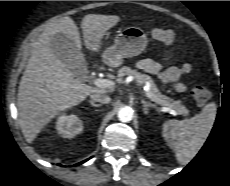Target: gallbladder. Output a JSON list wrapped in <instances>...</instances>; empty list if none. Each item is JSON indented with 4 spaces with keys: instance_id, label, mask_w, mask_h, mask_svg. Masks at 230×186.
Returning a JSON list of instances; mask_svg holds the SVG:
<instances>
[{
    "instance_id": "bac80fb5",
    "label": "gallbladder",
    "mask_w": 230,
    "mask_h": 186,
    "mask_svg": "<svg viewBox=\"0 0 230 186\" xmlns=\"http://www.w3.org/2000/svg\"><path fill=\"white\" fill-rule=\"evenodd\" d=\"M52 49L56 56L62 60L70 70L81 77L87 71V63L84 55L78 51L75 43L67 35L58 33L52 40Z\"/></svg>"
}]
</instances>
